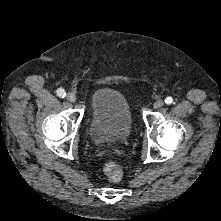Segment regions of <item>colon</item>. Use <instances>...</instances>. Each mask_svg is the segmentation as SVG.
Segmentation results:
<instances>
[{"instance_id":"obj_1","label":"colon","mask_w":221,"mask_h":221,"mask_svg":"<svg viewBox=\"0 0 221 221\" xmlns=\"http://www.w3.org/2000/svg\"><path fill=\"white\" fill-rule=\"evenodd\" d=\"M104 172L108 179L113 182H118L122 179L123 177V170L121 166L114 161H110L106 163L104 167Z\"/></svg>"}]
</instances>
